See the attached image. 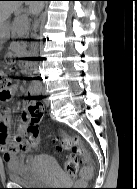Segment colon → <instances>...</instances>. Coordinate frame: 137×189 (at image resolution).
<instances>
[{
  "label": "colon",
  "mask_w": 137,
  "mask_h": 189,
  "mask_svg": "<svg viewBox=\"0 0 137 189\" xmlns=\"http://www.w3.org/2000/svg\"><path fill=\"white\" fill-rule=\"evenodd\" d=\"M12 69L0 68V99L7 100L12 96ZM28 124L22 137V142L29 148H36L40 144L39 122L44 114V105L35 102L25 107ZM59 149L70 150L72 155L65 161L64 172L68 176H75L78 171L79 162L88 163L89 157L81 141L77 137L62 135ZM93 176V168L87 166L82 178L88 180Z\"/></svg>",
  "instance_id": "1"
}]
</instances>
